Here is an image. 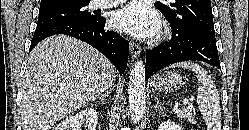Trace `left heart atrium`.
<instances>
[{"label": "left heart atrium", "mask_w": 249, "mask_h": 130, "mask_svg": "<svg viewBox=\"0 0 249 130\" xmlns=\"http://www.w3.org/2000/svg\"><path fill=\"white\" fill-rule=\"evenodd\" d=\"M111 22L117 30L138 38L154 36L159 30L157 14L143 0H135L116 11Z\"/></svg>", "instance_id": "left-heart-atrium-1"}]
</instances>
